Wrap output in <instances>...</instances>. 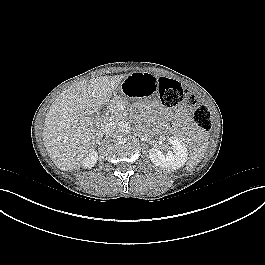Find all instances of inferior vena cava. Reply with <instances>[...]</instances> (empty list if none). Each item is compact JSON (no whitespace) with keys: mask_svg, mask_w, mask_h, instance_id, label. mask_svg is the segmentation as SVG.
I'll list each match as a JSON object with an SVG mask.
<instances>
[{"mask_svg":"<svg viewBox=\"0 0 265 265\" xmlns=\"http://www.w3.org/2000/svg\"><path fill=\"white\" fill-rule=\"evenodd\" d=\"M116 124L113 121H104L101 124V127L99 129V132L104 135L111 134L115 131Z\"/></svg>","mask_w":265,"mask_h":265,"instance_id":"602c4592","label":"inferior vena cava"}]
</instances>
